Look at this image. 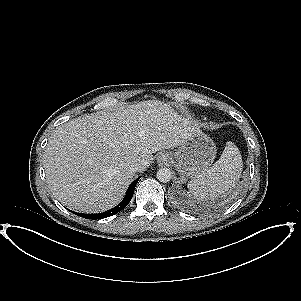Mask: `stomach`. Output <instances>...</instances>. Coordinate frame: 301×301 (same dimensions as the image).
I'll return each mask as SVG.
<instances>
[{
	"label": "stomach",
	"mask_w": 301,
	"mask_h": 301,
	"mask_svg": "<svg viewBox=\"0 0 301 301\" xmlns=\"http://www.w3.org/2000/svg\"><path fill=\"white\" fill-rule=\"evenodd\" d=\"M174 157L180 173L185 177L195 178L212 165L216 157V146L205 133L193 128Z\"/></svg>",
	"instance_id": "stomach-1"
}]
</instances>
